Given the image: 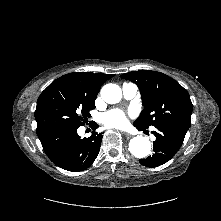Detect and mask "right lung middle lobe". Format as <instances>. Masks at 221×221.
I'll return each instance as SVG.
<instances>
[{
  "label": "right lung middle lobe",
  "mask_w": 221,
  "mask_h": 221,
  "mask_svg": "<svg viewBox=\"0 0 221 221\" xmlns=\"http://www.w3.org/2000/svg\"><path fill=\"white\" fill-rule=\"evenodd\" d=\"M94 100L87 98L67 83L52 82L39 96L35 111L37 135L41 137L63 128L84 125Z\"/></svg>",
  "instance_id": "right-lung-middle-lobe-1"
}]
</instances>
